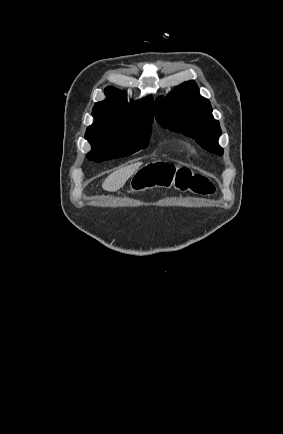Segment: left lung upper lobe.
Returning a JSON list of instances; mask_svg holds the SVG:
<instances>
[{
    "instance_id": "5c2ea615",
    "label": "left lung upper lobe",
    "mask_w": 283,
    "mask_h": 434,
    "mask_svg": "<svg viewBox=\"0 0 283 434\" xmlns=\"http://www.w3.org/2000/svg\"><path fill=\"white\" fill-rule=\"evenodd\" d=\"M155 118L162 127L194 138L205 150L223 155L218 144L222 132L213 118L209 100L200 96L194 81L175 87L155 102Z\"/></svg>"
}]
</instances>
